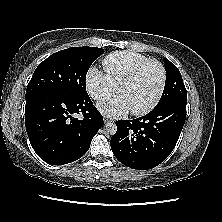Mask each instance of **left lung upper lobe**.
Listing matches in <instances>:
<instances>
[{
    "instance_id": "obj_1",
    "label": "left lung upper lobe",
    "mask_w": 222,
    "mask_h": 222,
    "mask_svg": "<svg viewBox=\"0 0 222 222\" xmlns=\"http://www.w3.org/2000/svg\"><path fill=\"white\" fill-rule=\"evenodd\" d=\"M164 65L166 70V83L158 104L170 99H187V91L178 68L167 58H164Z\"/></svg>"
}]
</instances>
